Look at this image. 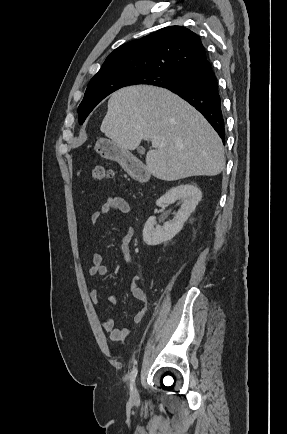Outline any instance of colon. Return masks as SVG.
I'll use <instances>...</instances> for the list:
<instances>
[{"label":"colon","mask_w":287,"mask_h":434,"mask_svg":"<svg viewBox=\"0 0 287 434\" xmlns=\"http://www.w3.org/2000/svg\"><path fill=\"white\" fill-rule=\"evenodd\" d=\"M111 176V170L104 165H95L92 168V177L95 181H101Z\"/></svg>","instance_id":"obj_1"}]
</instances>
